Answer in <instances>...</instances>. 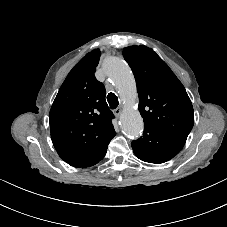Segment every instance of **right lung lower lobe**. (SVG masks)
Segmentation results:
<instances>
[{
  "mask_svg": "<svg viewBox=\"0 0 227 227\" xmlns=\"http://www.w3.org/2000/svg\"><path fill=\"white\" fill-rule=\"evenodd\" d=\"M104 157V156H103ZM103 157L101 158V159H103ZM100 159V160H101ZM100 160H98V161H96V162H94V163H92V164H90V165H88V166H85V167H89V166H92V165H95L96 163H98Z\"/></svg>",
  "mask_w": 227,
  "mask_h": 227,
  "instance_id": "1",
  "label": "right lung lower lobe"
}]
</instances>
